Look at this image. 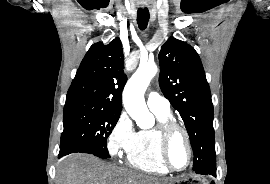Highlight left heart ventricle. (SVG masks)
Masks as SVG:
<instances>
[{
	"label": "left heart ventricle",
	"mask_w": 270,
	"mask_h": 184,
	"mask_svg": "<svg viewBox=\"0 0 270 184\" xmlns=\"http://www.w3.org/2000/svg\"><path fill=\"white\" fill-rule=\"evenodd\" d=\"M168 157L176 168H183L187 164L188 149L184 136L179 132L175 133L170 141Z\"/></svg>",
	"instance_id": "b2bd125f"
}]
</instances>
